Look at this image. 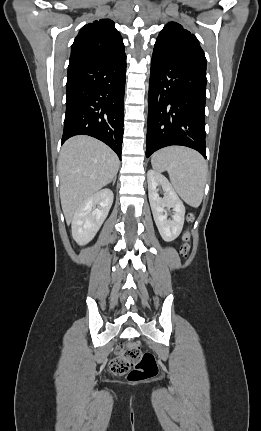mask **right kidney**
<instances>
[{
    "mask_svg": "<svg viewBox=\"0 0 261 431\" xmlns=\"http://www.w3.org/2000/svg\"><path fill=\"white\" fill-rule=\"evenodd\" d=\"M114 199L113 192L105 188L89 197L72 219V237L79 245L90 242L106 219Z\"/></svg>",
    "mask_w": 261,
    "mask_h": 431,
    "instance_id": "right-kidney-1",
    "label": "right kidney"
}]
</instances>
